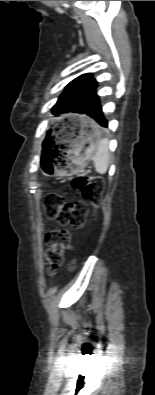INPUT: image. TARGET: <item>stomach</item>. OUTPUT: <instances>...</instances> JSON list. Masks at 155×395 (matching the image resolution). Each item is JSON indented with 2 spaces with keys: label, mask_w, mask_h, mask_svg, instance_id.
<instances>
[{
  "label": "stomach",
  "mask_w": 155,
  "mask_h": 395,
  "mask_svg": "<svg viewBox=\"0 0 155 395\" xmlns=\"http://www.w3.org/2000/svg\"><path fill=\"white\" fill-rule=\"evenodd\" d=\"M77 134L71 133L63 141L62 157L57 164L51 163L48 168L52 172L45 171L50 175H72L83 169L87 162L98 150L100 131L94 122H86L85 118L79 119ZM57 160V159H54Z\"/></svg>",
  "instance_id": "obj_1"
}]
</instances>
